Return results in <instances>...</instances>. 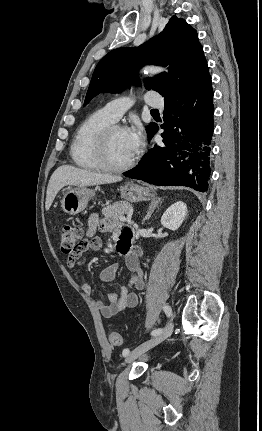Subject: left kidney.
<instances>
[{
  "instance_id": "1",
  "label": "left kidney",
  "mask_w": 262,
  "mask_h": 431,
  "mask_svg": "<svg viewBox=\"0 0 262 431\" xmlns=\"http://www.w3.org/2000/svg\"><path fill=\"white\" fill-rule=\"evenodd\" d=\"M187 215V206L179 201L171 205L163 214L161 224L168 229L177 230Z\"/></svg>"
}]
</instances>
